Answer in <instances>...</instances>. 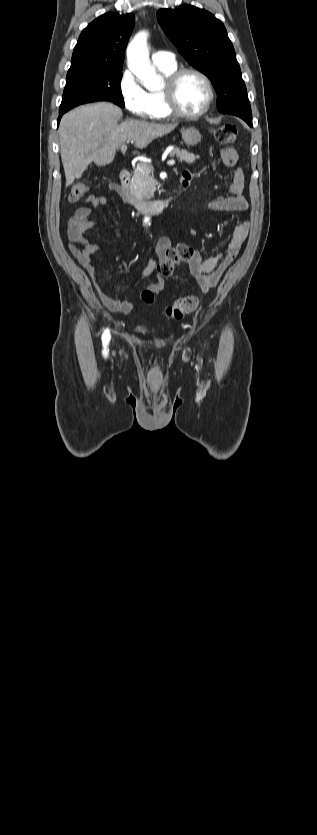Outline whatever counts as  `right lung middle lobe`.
Listing matches in <instances>:
<instances>
[{"label":"right lung middle lobe","instance_id":"dd1d6c3e","mask_svg":"<svg viewBox=\"0 0 317 835\" xmlns=\"http://www.w3.org/2000/svg\"><path fill=\"white\" fill-rule=\"evenodd\" d=\"M122 69L111 67L80 66L67 73L59 111H68L80 104L110 101L124 107L120 82Z\"/></svg>","mask_w":317,"mask_h":835}]
</instances>
